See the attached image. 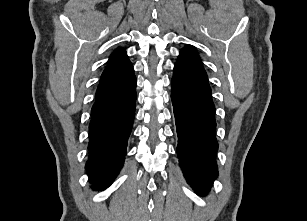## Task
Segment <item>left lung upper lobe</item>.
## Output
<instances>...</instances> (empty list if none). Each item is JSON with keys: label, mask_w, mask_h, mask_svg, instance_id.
<instances>
[{"label": "left lung upper lobe", "mask_w": 307, "mask_h": 221, "mask_svg": "<svg viewBox=\"0 0 307 221\" xmlns=\"http://www.w3.org/2000/svg\"><path fill=\"white\" fill-rule=\"evenodd\" d=\"M181 51H184V52L188 53L189 55H191L192 57L196 58L197 60H199L201 62L200 57L198 56V53L194 49L193 46L186 45V47L184 49H182Z\"/></svg>", "instance_id": "obj_1"}]
</instances>
